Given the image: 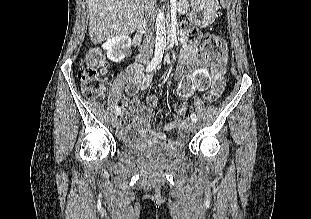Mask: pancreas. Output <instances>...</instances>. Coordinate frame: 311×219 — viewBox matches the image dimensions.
Instances as JSON below:
<instances>
[{
	"label": "pancreas",
	"mask_w": 311,
	"mask_h": 219,
	"mask_svg": "<svg viewBox=\"0 0 311 219\" xmlns=\"http://www.w3.org/2000/svg\"><path fill=\"white\" fill-rule=\"evenodd\" d=\"M178 6H179V13L184 14L189 10V4L188 0H179L178 1Z\"/></svg>",
	"instance_id": "1"
}]
</instances>
